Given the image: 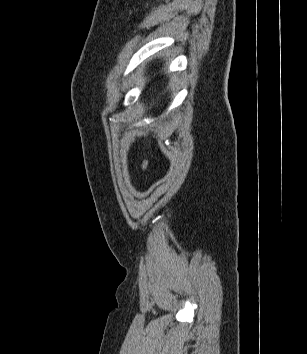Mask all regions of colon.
Returning a JSON list of instances; mask_svg holds the SVG:
<instances>
[{"label": "colon", "instance_id": "colon-1", "mask_svg": "<svg viewBox=\"0 0 307 354\" xmlns=\"http://www.w3.org/2000/svg\"><path fill=\"white\" fill-rule=\"evenodd\" d=\"M147 165H148V162H147V161H144V164H143L144 168H146Z\"/></svg>", "mask_w": 307, "mask_h": 354}]
</instances>
